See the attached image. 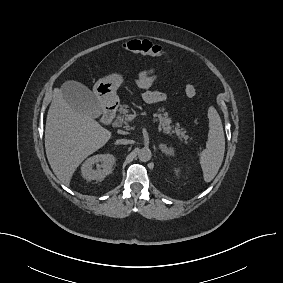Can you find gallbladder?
Masks as SVG:
<instances>
[{
	"mask_svg": "<svg viewBox=\"0 0 283 283\" xmlns=\"http://www.w3.org/2000/svg\"><path fill=\"white\" fill-rule=\"evenodd\" d=\"M61 92L69 106L80 113L97 118L102 108L94 94L83 84L69 80L62 84Z\"/></svg>",
	"mask_w": 283,
	"mask_h": 283,
	"instance_id": "bac80fb5",
	"label": "gallbladder"
}]
</instances>
